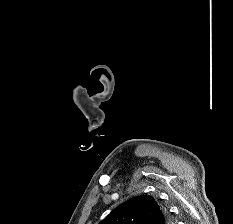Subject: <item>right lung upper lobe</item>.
Returning <instances> with one entry per match:
<instances>
[{"label":"right lung upper lobe","instance_id":"1","mask_svg":"<svg viewBox=\"0 0 233 224\" xmlns=\"http://www.w3.org/2000/svg\"><path fill=\"white\" fill-rule=\"evenodd\" d=\"M166 210L152 196L140 195L120 204L99 224H168Z\"/></svg>","mask_w":233,"mask_h":224}]
</instances>
